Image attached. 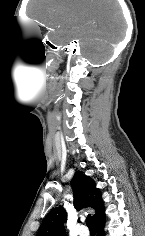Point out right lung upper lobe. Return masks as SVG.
<instances>
[{
    "instance_id": "right-lung-upper-lobe-1",
    "label": "right lung upper lobe",
    "mask_w": 145,
    "mask_h": 236,
    "mask_svg": "<svg viewBox=\"0 0 145 236\" xmlns=\"http://www.w3.org/2000/svg\"><path fill=\"white\" fill-rule=\"evenodd\" d=\"M71 186L74 194V207L77 210L87 207L93 208L95 210L94 222L105 215L101 192L96 188L92 178L81 171H77L72 179ZM65 218L66 211L62 206L52 209L44 218L37 236H66Z\"/></svg>"
}]
</instances>
